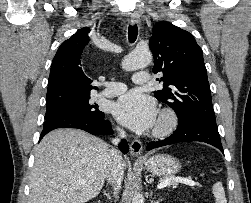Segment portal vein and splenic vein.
Masks as SVG:
<instances>
[{
    "label": "portal vein and splenic vein",
    "instance_id": "portal-vein-and-splenic-vein-1",
    "mask_svg": "<svg viewBox=\"0 0 251 203\" xmlns=\"http://www.w3.org/2000/svg\"><path fill=\"white\" fill-rule=\"evenodd\" d=\"M172 181L180 182L182 184L189 185V186H195L196 185V183L194 181L188 180V179H185V178H179V177L178 178H173ZM170 182L171 181L169 179L164 180V181H162L161 183L158 184L157 188L162 189V188L166 187L167 185H169Z\"/></svg>",
    "mask_w": 251,
    "mask_h": 203
}]
</instances>
